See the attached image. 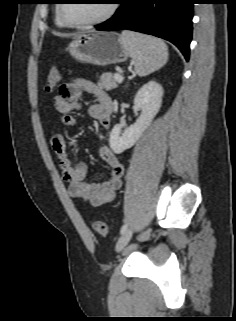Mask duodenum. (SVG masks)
Returning <instances> with one entry per match:
<instances>
[{
  "mask_svg": "<svg viewBox=\"0 0 236 321\" xmlns=\"http://www.w3.org/2000/svg\"><path fill=\"white\" fill-rule=\"evenodd\" d=\"M110 108L112 109V105L110 104Z\"/></svg>",
  "mask_w": 236,
  "mask_h": 321,
  "instance_id": "duodenum-1",
  "label": "duodenum"
}]
</instances>
